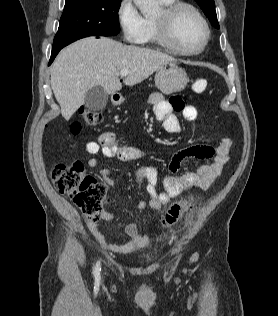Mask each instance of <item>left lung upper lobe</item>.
<instances>
[{"instance_id":"left-lung-upper-lobe-1","label":"left lung upper lobe","mask_w":278,"mask_h":316,"mask_svg":"<svg viewBox=\"0 0 278 316\" xmlns=\"http://www.w3.org/2000/svg\"><path fill=\"white\" fill-rule=\"evenodd\" d=\"M195 1L199 4V6L201 7L205 15L210 20L211 24L215 28L219 29V23H218L216 11H215L214 0H195Z\"/></svg>"}]
</instances>
